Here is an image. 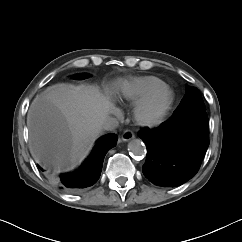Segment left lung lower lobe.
Instances as JSON below:
<instances>
[{
    "label": "left lung lower lobe",
    "instance_id": "0a47b994",
    "mask_svg": "<svg viewBox=\"0 0 242 242\" xmlns=\"http://www.w3.org/2000/svg\"><path fill=\"white\" fill-rule=\"evenodd\" d=\"M207 116H196L179 124L165 121L151 130L138 132L147 146L143 174L157 186L176 187L199 170L209 146Z\"/></svg>",
    "mask_w": 242,
    "mask_h": 242
}]
</instances>
